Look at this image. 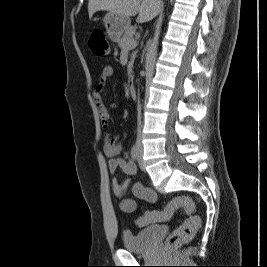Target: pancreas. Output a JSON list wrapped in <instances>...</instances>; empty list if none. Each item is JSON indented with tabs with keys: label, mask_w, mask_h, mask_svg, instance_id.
<instances>
[{
	"label": "pancreas",
	"mask_w": 267,
	"mask_h": 267,
	"mask_svg": "<svg viewBox=\"0 0 267 267\" xmlns=\"http://www.w3.org/2000/svg\"><path fill=\"white\" fill-rule=\"evenodd\" d=\"M135 32H136V28L135 27H133V26H129L128 27V29L125 31L122 39L119 41V47L121 49H133L137 45L136 41L133 38V36L135 35ZM132 42L135 44V46L134 47H129V45ZM131 65H132V63H130L129 66H128L129 70H131Z\"/></svg>",
	"instance_id": "1"
}]
</instances>
